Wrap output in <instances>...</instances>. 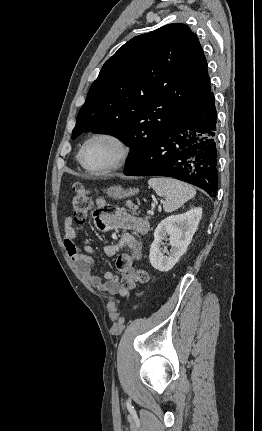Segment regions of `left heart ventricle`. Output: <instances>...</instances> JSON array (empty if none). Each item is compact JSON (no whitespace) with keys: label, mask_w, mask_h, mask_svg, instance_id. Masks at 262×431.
I'll list each match as a JSON object with an SVG mask.
<instances>
[{"label":"left heart ventricle","mask_w":262,"mask_h":431,"mask_svg":"<svg viewBox=\"0 0 262 431\" xmlns=\"http://www.w3.org/2000/svg\"><path fill=\"white\" fill-rule=\"evenodd\" d=\"M117 153V146L112 141L95 140L88 145L85 151L84 163L92 170L106 169L114 163Z\"/></svg>","instance_id":"obj_1"}]
</instances>
